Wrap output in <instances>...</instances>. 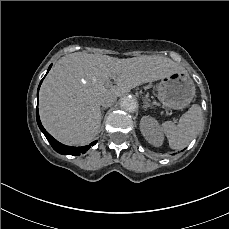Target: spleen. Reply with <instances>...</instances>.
<instances>
[{
  "mask_svg": "<svg viewBox=\"0 0 229 229\" xmlns=\"http://www.w3.org/2000/svg\"><path fill=\"white\" fill-rule=\"evenodd\" d=\"M202 124L201 107L194 104L181 116L178 124L166 121L161 129L166 134L171 149H182L190 144Z\"/></svg>",
  "mask_w": 229,
  "mask_h": 229,
  "instance_id": "1",
  "label": "spleen"
}]
</instances>
